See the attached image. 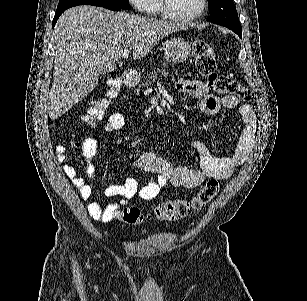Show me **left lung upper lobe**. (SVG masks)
Returning <instances> with one entry per match:
<instances>
[{
    "instance_id": "obj_1",
    "label": "left lung upper lobe",
    "mask_w": 307,
    "mask_h": 301,
    "mask_svg": "<svg viewBox=\"0 0 307 301\" xmlns=\"http://www.w3.org/2000/svg\"><path fill=\"white\" fill-rule=\"evenodd\" d=\"M209 21L225 26L242 38V27L233 0H208Z\"/></svg>"
}]
</instances>
